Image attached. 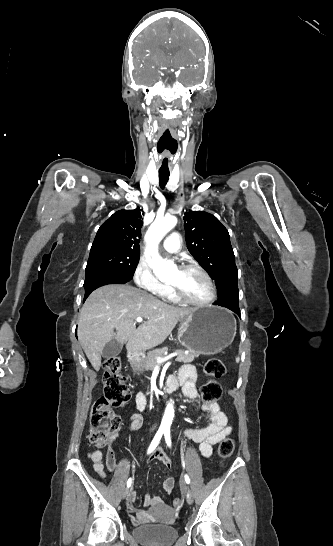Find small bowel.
<instances>
[{
  "label": "small bowel",
  "mask_w": 333,
  "mask_h": 546,
  "mask_svg": "<svg viewBox=\"0 0 333 546\" xmlns=\"http://www.w3.org/2000/svg\"><path fill=\"white\" fill-rule=\"evenodd\" d=\"M177 385H181L184 395L189 399H194L197 395V371L194 366L186 365L182 367L177 376L173 377ZM136 406L141 412L147 408V398L143 392H139L136 396ZM202 409L211 414V422L202 428L187 429L184 432V438L192 443L198 444L199 451L202 456L208 458L212 455L213 447L222 439L228 436L232 427L229 425L227 416L220 409L218 403H204ZM143 423V418L140 414L135 413L130 417L129 430L137 431ZM90 458L93 461L95 471L101 476L106 477L107 471L115 472L117 462L115 452L109 449L106 453L105 464L103 463V454L100 450H95L90 453ZM152 460L160 462L165 468L171 469L172 462L168 455L161 449L156 450L151 456ZM164 490L171 493L175 487V479L171 476L167 477L163 482ZM135 492H131L126 500L125 509L134 525L146 524L156 521L159 513H167L173 515L174 511L168 507L162 498L152 496L149 493L144 495V503L147 509H136L133 506L135 500Z\"/></svg>",
  "instance_id": "1"
}]
</instances>
